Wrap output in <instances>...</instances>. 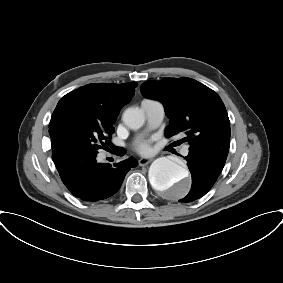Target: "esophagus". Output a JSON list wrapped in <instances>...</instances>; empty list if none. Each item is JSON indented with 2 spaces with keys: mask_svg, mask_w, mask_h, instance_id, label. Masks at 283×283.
<instances>
[{
  "mask_svg": "<svg viewBox=\"0 0 283 283\" xmlns=\"http://www.w3.org/2000/svg\"><path fill=\"white\" fill-rule=\"evenodd\" d=\"M151 161H152V159L141 158V159H139L138 163H139L140 166H146Z\"/></svg>",
  "mask_w": 283,
  "mask_h": 283,
  "instance_id": "obj_1",
  "label": "esophagus"
}]
</instances>
